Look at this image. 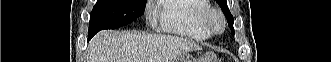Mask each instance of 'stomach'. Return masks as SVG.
<instances>
[{
  "instance_id": "0dacf381",
  "label": "stomach",
  "mask_w": 331,
  "mask_h": 62,
  "mask_svg": "<svg viewBox=\"0 0 331 62\" xmlns=\"http://www.w3.org/2000/svg\"><path fill=\"white\" fill-rule=\"evenodd\" d=\"M212 58H213L212 53H208L205 55V60H212ZM171 62H195V61L189 55H179L176 58H174Z\"/></svg>"
}]
</instances>
